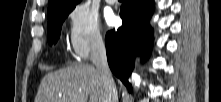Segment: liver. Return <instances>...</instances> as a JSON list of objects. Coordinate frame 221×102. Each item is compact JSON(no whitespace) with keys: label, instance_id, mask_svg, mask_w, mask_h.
<instances>
[{"label":"liver","instance_id":"obj_1","mask_svg":"<svg viewBox=\"0 0 221 102\" xmlns=\"http://www.w3.org/2000/svg\"><path fill=\"white\" fill-rule=\"evenodd\" d=\"M104 102L101 71L92 65H77L47 74L35 102Z\"/></svg>","mask_w":221,"mask_h":102}]
</instances>
